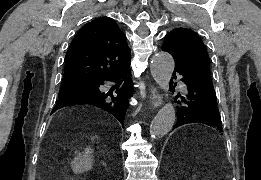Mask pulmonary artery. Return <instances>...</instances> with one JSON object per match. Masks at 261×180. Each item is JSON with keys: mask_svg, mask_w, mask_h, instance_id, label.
<instances>
[{"mask_svg": "<svg viewBox=\"0 0 261 180\" xmlns=\"http://www.w3.org/2000/svg\"><path fill=\"white\" fill-rule=\"evenodd\" d=\"M170 82H171V83H176V82H177V79H176V78H171V79H170Z\"/></svg>", "mask_w": 261, "mask_h": 180, "instance_id": "obj_1", "label": "pulmonary artery"}]
</instances>
